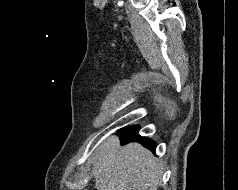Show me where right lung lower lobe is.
<instances>
[{"label": "right lung lower lobe", "mask_w": 238, "mask_h": 190, "mask_svg": "<svg viewBox=\"0 0 238 190\" xmlns=\"http://www.w3.org/2000/svg\"><path fill=\"white\" fill-rule=\"evenodd\" d=\"M138 129H139V126H130V127L121 129L123 133L121 144L125 145L130 143L131 141L136 140L140 142L143 146L150 149L151 151H155L156 143L148 138L138 135Z\"/></svg>", "instance_id": "98d812e1"}]
</instances>
